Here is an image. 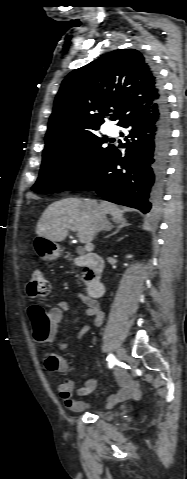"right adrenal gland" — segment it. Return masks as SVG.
<instances>
[{"instance_id":"2a0ac1e0","label":"right adrenal gland","mask_w":187,"mask_h":479,"mask_svg":"<svg viewBox=\"0 0 187 479\" xmlns=\"http://www.w3.org/2000/svg\"><path fill=\"white\" fill-rule=\"evenodd\" d=\"M114 223L117 225L116 230L114 232H112L111 234L107 235L105 238H109V237H111L115 234H118L122 228L130 225L129 223H126V222H116V221H114ZM113 227L114 226H112L111 228H113Z\"/></svg>"}]
</instances>
